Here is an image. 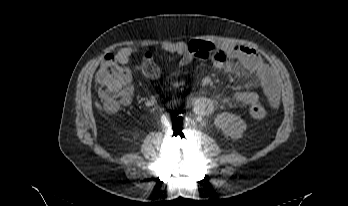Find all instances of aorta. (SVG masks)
Returning <instances> with one entry per match:
<instances>
[{
	"label": "aorta",
	"mask_w": 348,
	"mask_h": 206,
	"mask_svg": "<svg viewBox=\"0 0 348 206\" xmlns=\"http://www.w3.org/2000/svg\"><path fill=\"white\" fill-rule=\"evenodd\" d=\"M178 118H179V122H180L181 124H186V123H188V121H189L188 116L185 115V114H179V115H178Z\"/></svg>",
	"instance_id": "obj_1"
}]
</instances>
